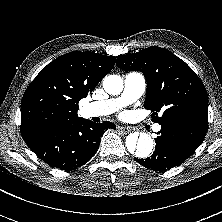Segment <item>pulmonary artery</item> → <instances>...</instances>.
Segmentation results:
<instances>
[{"label": "pulmonary artery", "mask_w": 222, "mask_h": 222, "mask_svg": "<svg viewBox=\"0 0 222 222\" xmlns=\"http://www.w3.org/2000/svg\"><path fill=\"white\" fill-rule=\"evenodd\" d=\"M145 86V78L141 73L130 72L124 78L123 92L119 97L91 102L84 106V114L86 117L112 114L138 99L143 94ZM160 129L159 124L154 126V131H159Z\"/></svg>", "instance_id": "1"}]
</instances>
